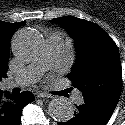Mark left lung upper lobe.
Here are the masks:
<instances>
[{
  "label": "left lung upper lobe",
  "instance_id": "1",
  "mask_svg": "<svg viewBox=\"0 0 125 125\" xmlns=\"http://www.w3.org/2000/svg\"><path fill=\"white\" fill-rule=\"evenodd\" d=\"M68 29L76 44L77 59L67 78L83 95L84 103L117 105L122 89L119 50L97 24L73 16L51 20Z\"/></svg>",
  "mask_w": 125,
  "mask_h": 125
}]
</instances>
